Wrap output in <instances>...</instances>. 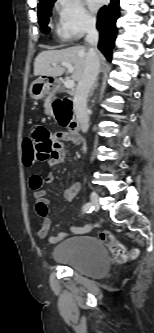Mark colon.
I'll list each match as a JSON object with an SVG mask.
<instances>
[{"instance_id":"5ec220e1","label":"colon","mask_w":154,"mask_h":333,"mask_svg":"<svg viewBox=\"0 0 154 333\" xmlns=\"http://www.w3.org/2000/svg\"><path fill=\"white\" fill-rule=\"evenodd\" d=\"M53 107L60 124L69 128L71 121L70 101L67 99H58L54 102ZM22 161L26 166H31L36 161L34 141L31 137H25L23 139ZM99 239L110 250L113 258L118 262H126L137 254L136 251L129 252L110 231H101L99 233Z\"/></svg>"}]
</instances>
